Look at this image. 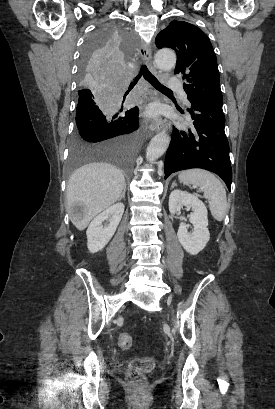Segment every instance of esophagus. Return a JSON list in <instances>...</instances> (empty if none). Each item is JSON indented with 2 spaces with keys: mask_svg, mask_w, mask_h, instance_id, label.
I'll list each match as a JSON object with an SVG mask.
<instances>
[{
  "mask_svg": "<svg viewBox=\"0 0 275 409\" xmlns=\"http://www.w3.org/2000/svg\"><path fill=\"white\" fill-rule=\"evenodd\" d=\"M138 53L142 60L150 61L151 59V48L146 43H141ZM165 127V123L162 119H157L156 122L150 126L153 132H160Z\"/></svg>",
  "mask_w": 275,
  "mask_h": 409,
  "instance_id": "1",
  "label": "esophagus"
}]
</instances>
